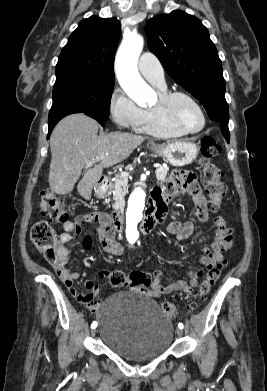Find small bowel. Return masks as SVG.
<instances>
[{"label": "small bowel", "mask_w": 267, "mask_h": 391, "mask_svg": "<svg viewBox=\"0 0 267 391\" xmlns=\"http://www.w3.org/2000/svg\"><path fill=\"white\" fill-rule=\"evenodd\" d=\"M185 193L190 194L192 197L194 203L193 216L202 223L207 222L209 219L207 200L196 181L195 175L186 170L173 171L160 186L153 189L152 204L156 206L161 219L167 212L168 203L176 196ZM91 222H98L99 224L97 233L101 248L105 253L111 256H120L123 253V246L115 238L109 216L106 213H88L78 216L72 221L67 220L63 223V232L59 236L56 247L57 261L53 264V268L58 277L71 290L79 302L86 304L92 310H96L101 305V301L96 299L99 294V287L95 283L94 278H87L85 280L87 293H80L73 288V282L80 277V274L76 271H69L66 268L69 257V249L66 244L72 241L73 233L80 234L82 226L85 223ZM194 230V224L190 221H173L167 227V231L176 236L179 241L189 237ZM214 233L215 240L211 243L210 247H203V255L200 257L201 264L206 268H211L216 263L223 261L224 253L232 245V230L227 227L223 218H215ZM92 242L91 235H85L82 242L83 248L90 249ZM112 274L109 272H99L97 277L109 281ZM202 274L203 270L201 269L191 270L189 272V281L177 280L166 283L164 282L163 273L157 270L153 273L150 288L144 294L157 298L173 291L192 293L198 285V280Z\"/></svg>", "instance_id": "1"}]
</instances>
